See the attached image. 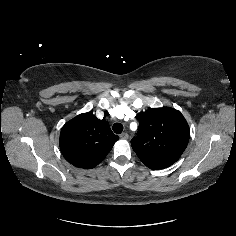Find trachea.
Segmentation results:
<instances>
[{
  "label": "trachea",
  "instance_id": "obj_1",
  "mask_svg": "<svg viewBox=\"0 0 236 236\" xmlns=\"http://www.w3.org/2000/svg\"><path fill=\"white\" fill-rule=\"evenodd\" d=\"M112 129L116 134H120L123 131V125L120 123H115Z\"/></svg>",
  "mask_w": 236,
  "mask_h": 236
}]
</instances>
